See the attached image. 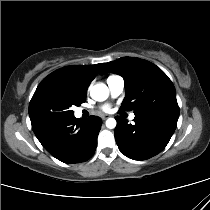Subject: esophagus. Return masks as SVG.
Returning <instances> with one entry per match:
<instances>
[{
	"label": "esophagus",
	"mask_w": 210,
	"mask_h": 210,
	"mask_svg": "<svg viewBox=\"0 0 210 210\" xmlns=\"http://www.w3.org/2000/svg\"><path fill=\"white\" fill-rule=\"evenodd\" d=\"M101 118H102L103 120H106L107 118H109V115L104 114V115L101 116Z\"/></svg>",
	"instance_id": "esophagus-1"
}]
</instances>
